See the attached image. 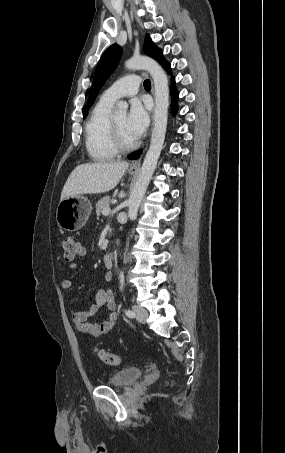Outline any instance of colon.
Wrapping results in <instances>:
<instances>
[{"label":"colon","instance_id":"obj_1","mask_svg":"<svg viewBox=\"0 0 285 453\" xmlns=\"http://www.w3.org/2000/svg\"><path fill=\"white\" fill-rule=\"evenodd\" d=\"M62 248L64 252V259L66 261H73L80 255V245L71 237L63 239ZM96 354L98 358L107 365H118L121 363V357L117 354H113L102 349H96Z\"/></svg>","mask_w":285,"mask_h":453}]
</instances>
